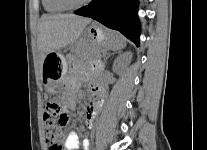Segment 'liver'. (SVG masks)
<instances>
[{"label": "liver", "instance_id": "1", "mask_svg": "<svg viewBox=\"0 0 207 150\" xmlns=\"http://www.w3.org/2000/svg\"><path fill=\"white\" fill-rule=\"evenodd\" d=\"M90 22V18L71 14L43 15L38 24L41 63L48 53L75 43Z\"/></svg>", "mask_w": 207, "mask_h": 150}]
</instances>
